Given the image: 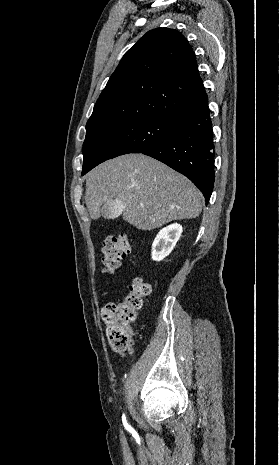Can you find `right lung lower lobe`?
<instances>
[{
  "instance_id": "98d812e1",
  "label": "right lung lower lobe",
  "mask_w": 279,
  "mask_h": 465,
  "mask_svg": "<svg viewBox=\"0 0 279 465\" xmlns=\"http://www.w3.org/2000/svg\"><path fill=\"white\" fill-rule=\"evenodd\" d=\"M141 153L188 177L208 203L215 179V152L208 101L179 116L173 129L163 139Z\"/></svg>"
}]
</instances>
